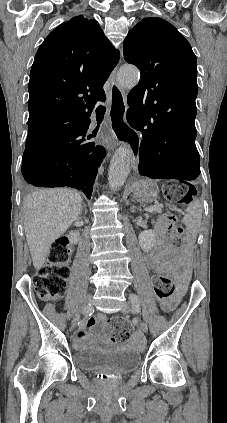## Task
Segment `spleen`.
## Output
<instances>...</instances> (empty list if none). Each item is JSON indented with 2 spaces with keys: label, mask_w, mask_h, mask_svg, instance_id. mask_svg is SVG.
Segmentation results:
<instances>
[{
  "label": "spleen",
  "mask_w": 227,
  "mask_h": 423,
  "mask_svg": "<svg viewBox=\"0 0 227 423\" xmlns=\"http://www.w3.org/2000/svg\"><path fill=\"white\" fill-rule=\"evenodd\" d=\"M201 217H202V210L200 206L199 200H193V202H190L186 213L183 217V221L187 227V229H190V231H197L200 227L201 223Z\"/></svg>",
  "instance_id": "1"
}]
</instances>
